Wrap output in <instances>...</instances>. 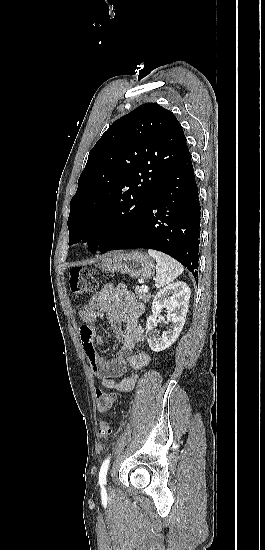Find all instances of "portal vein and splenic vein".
Wrapping results in <instances>:
<instances>
[{"mask_svg":"<svg viewBox=\"0 0 265 550\" xmlns=\"http://www.w3.org/2000/svg\"><path fill=\"white\" fill-rule=\"evenodd\" d=\"M141 289L145 293H147L149 291L148 286H146V285H142Z\"/></svg>","mask_w":265,"mask_h":550,"instance_id":"18ae733b","label":"portal vein and splenic vein"}]
</instances>
